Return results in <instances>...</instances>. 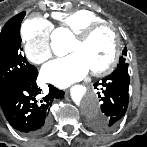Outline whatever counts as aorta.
Segmentation results:
<instances>
[{"label": "aorta", "mask_w": 147, "mask_h": 147, "mask_svg": "<svg viewBox=\"0 0 147 147\" xmlns=\"http://www.w3.org/2000/svg\"><path fill=\"white\" fill-rule=\"evenodd\" d=\"M51 47L58 56H63L68 50V38L65 35L54 36ZM72 99L80 105L83 113L87 117H102L100 102L95 92L84 87H76L72 91Z\"/></svg>", "instance_id": "762f6f07"}]
</instances>
